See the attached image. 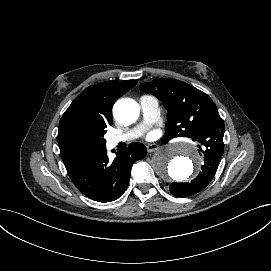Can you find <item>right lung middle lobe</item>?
Listing matches in <instances>:
<instances>
[{
    "instance_id": "obj_1",
    "label": "right lung middle lobe",
    "mask_w": 271,
    "mask_h": 271,
    "mask_svg": "<svg viewBox=\"0 0 271 271\" xmlns=\"http://www.w3.org/2000/svg\"><path fill=\"white\" fill-rule=\"evenodd\" d=\"M105 125L78 122L67 125L58 137L59 146L78 155L92 154L105 147Z\"/></svg>"
}]
</instances>
